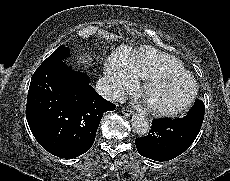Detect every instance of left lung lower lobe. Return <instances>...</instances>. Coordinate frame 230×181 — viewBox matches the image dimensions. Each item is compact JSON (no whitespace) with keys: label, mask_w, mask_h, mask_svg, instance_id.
<instances>
[{"label":"left lung lower lobe","mask_w":230,"mask_h":181,"mask_svg":"<svg viewBox=\"0 0 230 181\" xmlns=\"http://www.w3.org/2000/svg\"><path fill=\"white\" fill-rule=\"evenodd\" d=\"M204 112V103L196 100L183 118L153 120L149 135L135 139L139 154L155 161H168L179 156L197 137Z\"/></svg>","instance_id":"left-lung-lower-lobe-1"}]
</instances>
